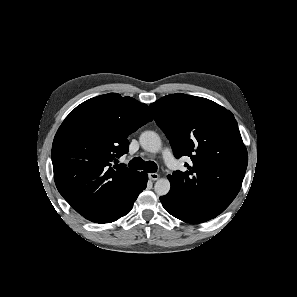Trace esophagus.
<instances>
[{"label": "esophagus", "mask_w": 297, "mask_h": 297, "mask_svg": "<svg viewBox=\"0 0 297 297\" xmlns=\"http://www.w3.org/2000/svg\"><path fill=\"white\" fill-rule=\"evenodd\" d=\"M149 180L155 181L159 179V175L157 173H149L148 174Z\"/></svg>", "instance_id": "obj_1"}]
</instances>
